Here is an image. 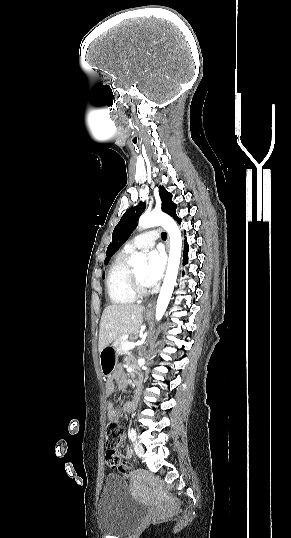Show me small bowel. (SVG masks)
Here are the masks:
<instances>
[{
    "label": "small bowel",
    "mask_w": 291,
    "mask_h": 538,
    "mask_svg": "<svg viewBox=\"0 0 291 538\" xmlns=\"http://www.w3.org/2000/svg\"><path fill=\"white\" fill-rule=\"evenodd\" d=\"M114 379H115L116 382H117V386H118V388H121V389H122V388H125V387H126V385H127V381H126V379H125L124 377L121 376L120 373L116 372V373L114 374ZM114 390H115V384H114L113 380H112V379H108L107 382H106V384H105V393H106V395L110 396L111 394H113ZM107 413H108V417L111 418V419H118L119 416H120L119 411H118L117 408L114 406V404L111 403V402H109V403L107 404ZM122 442H123V439H122V441L118 444V446L121 445ZM120 456H121L122 458L128 459V458L131 457V451H130L129 449H127L124 453L120 454ZM110 467H111V468H115V467H113V466H110Z\"/></svg>",
    "instance_id": "1"
}]
</instances>
